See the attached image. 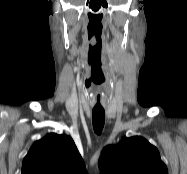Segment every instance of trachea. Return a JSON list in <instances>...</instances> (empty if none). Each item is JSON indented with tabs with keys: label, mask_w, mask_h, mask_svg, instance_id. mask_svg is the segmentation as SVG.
<instances>
[{
	"label": "trachea",
	"mask_w": 187,
	"mask_h": 174,
	"mask_svg": "<svg viewBox=\"0 0 187 174\" xmlns=\"http://www.w3.org/2000/svg\"><path fill=\"white\" fill-rule=\"evenodd\" d=\"M105 122V111L104 109L94 108L92 110V124L95 133L98 135L102 132Z\"/></svg>",
	"instance_id": "1"
}]
</instances>
